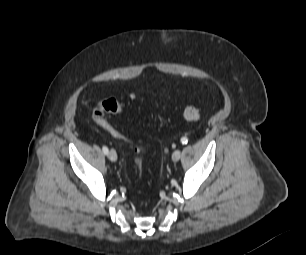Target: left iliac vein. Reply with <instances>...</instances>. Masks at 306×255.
Masks as SVG:
<instances>
[{
  "mask_svg": "<svg viewBox=\"0 0 306 255\" xmlns=\"http://www.w3.org/2000/svg\"><path fill=\"white\" fill-rule=\"evenodd\" d=\"M181 157V151L180 150H175L172 154V160L174 162H177Z\"/></svg>",
  "mask_w": 306,
  "mask_h": 255,
  "instance_id": "4c4485c4",
  "label": "left iliac vein"
}]
</instances>
